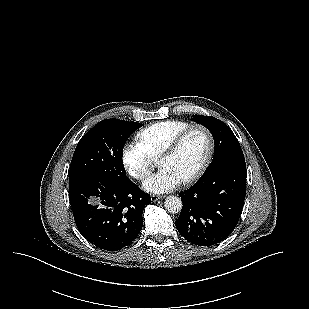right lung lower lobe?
<instances>
[{
  "instance_id": "right-lung-lower-lobe-1",
  "label": "right lung lower lobe",
  "mask_w": 309,
  "mask_h": 309,
  "mask_svg": "<svg viewBox=\"0 0 309 309\" xmlns=\"http://www.w3.org/2000/svg\"><path fill=\"white\" fill-rule=\"evenodd\" d=\"M69 199L78 230L90 243L107 251L131 244L142 229V212L150 195L130 180L115 182L84 176L69 182Z\"/></svg>"
}]
</instances>
